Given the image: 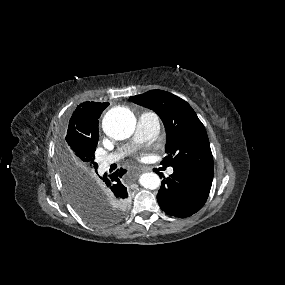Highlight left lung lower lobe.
<instances>
[{"instance_id": "1", "label": "left lung lower lobe", "mask_w": 285, "mask_h": 285, "mask_svg": "<svg viewBox=\"0 0 285 285\" xmlns=\"http://www.w3.org/2000/svg\"><path fill=\"white\" fill-rule=\"evenodd\" d=\"M157 194L161 209L169 215L188 217L205 204L213 180V170L173 168Z\"/></svg>"}]
</instances>
